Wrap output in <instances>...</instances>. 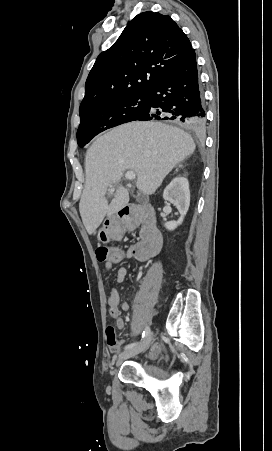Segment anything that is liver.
Returning <instances> with one entry per match:
<instances>
[{
    "label": "liver",
    "instance_id": "obj_1",
    "mask_svg": "<svg viewBox=\"0 0 272 451\" xmlns=\"http://www.w3.org/2000/svg\"><path fill=\"white\" fill-rule=\"evenodd\" d=\"M190 134L162 122H130L99 136L85 158L86 182L79 204L82 222L89 235L105 216L117 214L129 202V192L119 186L108 204L107 188L121 182L125 170L137 174L142 194H154L176 164L195 152Z\"/></svg>",
    "mask_w": 272,
    "mask_h": 451
}]
</instances>
